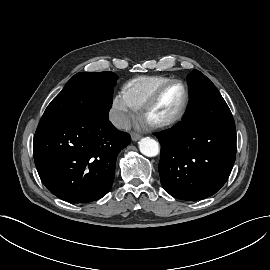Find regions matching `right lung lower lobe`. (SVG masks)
<instances>
[{
    "label": "right lung lower lobe",
    "mask_w": 270,
    "mask_h": 270,
    "mask_svg": "<svg viewBox=\"0 0 270 270\" xmlns=\"http://www.w3.org/2000/svg\"><path fill=\"white\" fill-rule=\"evenodd\" d=\"M108 113L41 118L33 139L34 161L43 184L58 198L85 203L110 190L117 155L131 138L113 126Z\"/></svg>",
    "instance_id": "right-lung-lower-lobe-1"
}]
</instances>
